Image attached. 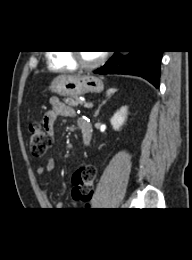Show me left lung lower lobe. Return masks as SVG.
<instances>
[{
    "label": "left lung lower lobe",
    "mask_w": 192,
    "mask_h": 260,
    "mask_svg": "<svg viewBox=\"0 0 192 260\" xmlns=\"http://www.w3.org/2000/svg\"><path fill=\"white\" fill-rule=\"evenodd\" d=\"M118 52L94 73L136 75L145 78L156 88L159 87L160 60L163 51H131L125 57L118 55Z\"/></svg>",
    "instance_id": "left-lung-lower-lobe-1"
}]
</instances>
